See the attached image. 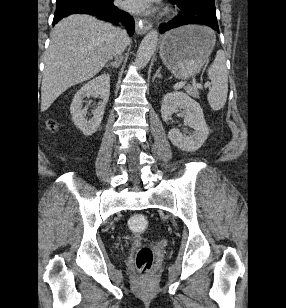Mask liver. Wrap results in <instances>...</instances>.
Here are the masks:
<instances>
[{
	"label": "liver",
	"instance_id": "liver-1",
	"mask_svg": "<svg viewBox=\"0 0 286 308\" xmlns=\"http://www.w3.org/2000/svg\"><path fill=\"white\" fill-rule=\"evenodd\" d=\"M118 40L117 28L89 15H71L57 23L44 60L41 111L68 88L98 74L112 58Z\"/></svg>",
	"mask_w": 286,
	"mask_h": 308
}]
</instances>
